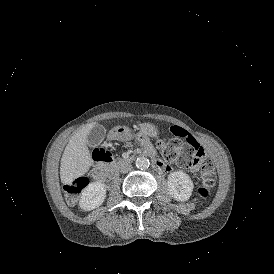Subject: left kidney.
Instances as JSON below:
<instances>
[{
  "mask_svg": "<svg viewBox=\"0 0 274 274\" xmlns=\"http://www.w3.org/2000/svg\"><path fill=\"white\" fill-rule=\"evenodd\" d=\"M167 187L168 193L176 201H187L192 195L194 185L188 174L176 171L168 175Z\"/></svg>",
  "mask_w": 274,
  "mask_h": 274,
  "instance_id": "obj_1",
  "label": "left kidney"
}]
</instances>
